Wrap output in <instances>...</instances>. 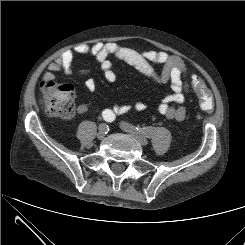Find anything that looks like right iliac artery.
Instances as JSON below:
<instances>
[{
    "label": "right iliac artery",
    "instance_id": "1",
    "mask_svg": "<svg viewBox=\"0 0 245 245\" xmlns=\"http://www.w3.org/2000/svg\"><path fill=\"white\" fill-rule=\"evenodd\" d=\"M102 116H103V118H104L105 121H108V122L113 121L112 118H110V116L107 115L105 111L102 113ZM101 126H102V129L104 130V132H105V134H106L107 131H109L108 125H106V124H101Z\"/></svg>",
    "mask_w": 245,
    "mask_h": 245
}]
</instances>
